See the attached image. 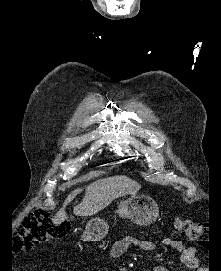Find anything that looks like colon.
Returning a JSON list of instances; mask_svg holds the SVG:
<instances>
[{"instance_id":"5ec220e1","label":"colon","mask_w":221,"mask_h":271,"mask_svg":"<svg viewBox=\"0 0 221 271\" xmlns=\"http://www.w3.org/2000/svg\"><path fill=\"white\" fill-rule=\"evenodd\" d=\"M64 224L65 221H55L53 213L49 209H34L23 219L13 245L17 251L31 250L36 244L49 242L66 235L68 229ZM174 226L183 237L194 243L205 245L210 242V231L204 223L184 218L176 220Z\"/></svg>"}]
</instances>
